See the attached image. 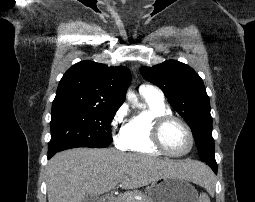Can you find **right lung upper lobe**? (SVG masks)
<instances>
[{
	"mask_svg": "<svg viewBox=\"0 0 255 202\" xmlns=\"http://www.w3.org/2000/svg\"><path fill=\"white\" fill-rule=\"evenodd\" d=\"M130 81L126 67H108L89 60L78 62L60 80L52 114L83 108L118 109Z\"/></svg>",
	"mask_w": 255,
	"mask_h": 202,
	"instance_id": "obj_1",
	"label": "right lung upper lobe"
}]
</instances>
